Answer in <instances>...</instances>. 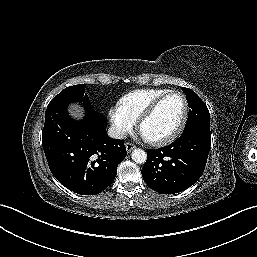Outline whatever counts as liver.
I'll return each mask as SVG.
<instances>
[{
  "mask_svg": "<svg viewBox=\"0 0 257 257\" xmlns=\"http://www.w3.org/2000/svg\"><path fill=\"white\" fill-rule=\"evenodd\" d=\"M70 115L75 119H81L84 116L83 108L80 107L78 104H72L69 107Z\"/></svg>",
  "mask_w": 257,
  "mask_h": 257,
  "instance_id": "1",
  "label": "liver"
}]
</instances>
